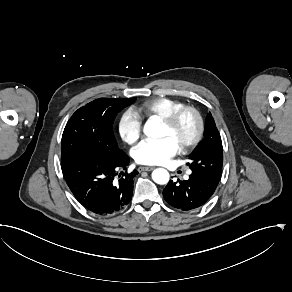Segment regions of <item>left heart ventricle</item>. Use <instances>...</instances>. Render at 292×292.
Listing matches in <instances>:
<instances>
[{
  "mask_svg": "<svg viewBox=\"0 0 292 292\" xmlns=\"http://www.w3.org/2000/svg\"><path fill=\"white\" fill-rule=\"evenodd\" d=\"M194 128L195 120L193 116L191 114H185L173 131L163 123L162 135L163 137L171 136L179 143L181 140L189 139L194 132Z\"/></svg>",
  "mask_w": 292,
  "mask_h": 292,
  "instance_id": "1",
  "label": "left heart ventricle"
}]
</instances>
